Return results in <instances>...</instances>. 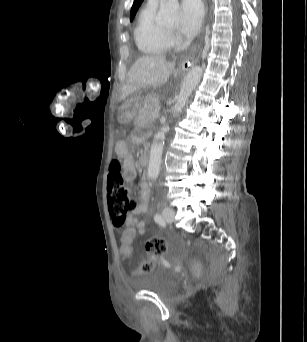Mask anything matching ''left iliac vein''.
<instances>
[{"label": "left iliac vein", "mask_w": 307, "mask_h": 342, "mask_svg": "<svg viewBox=\"0 0 307 342\" xmlns=\"http://www.w3.org/2000/svg\"><path fill=\"white\" fill-rule=\"evenodd\" d=\"M162 215H163V218H164V220H165L166 222L171 223V222H173V220H174V215H175V213H174V211H173L171 208H165V209L163 210Z\"/></svg>", "instance_id": "left-iliac-vein-1"}]
</instances>
